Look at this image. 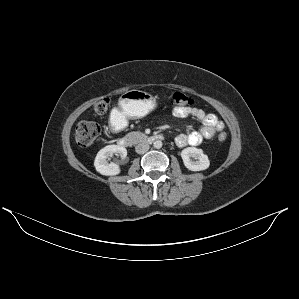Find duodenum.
<instances>
[{"label": "duodenum", "mask_w": 299, "mask_h": 299, "mask_svg": "<svg viewBox=\"0 0 299 299\" xmlns=\"http://www.w3.org/2000/svg\"><path fill=\"white\" fill-rule=\"evenodd\" d=\"M162 139H163V137L161 135H151V136L147 137V142L154 143V142L160 141ZM118 143L122 147H128L130 145V138L129 137H121L118 140Z\"/></svg>", "instance_id": "duodenum-1"}]
</instances>
